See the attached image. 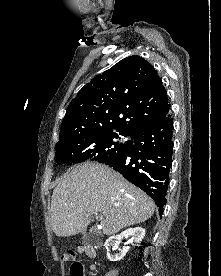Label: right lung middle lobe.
Returning <instances> with one entry per match:
<instances>
[{
    "label": "right lung middle lobe",
    "mask_w": 221,
    "mask_h": 276,
    "mask_svg": "<svg viewBox=\"0 0 221 276\" xmlns=\"http://www.w3.org/2000/svg\"><path fill=\"white\" fill-rule=\"evenodd\" d=\"M119 135L130 136L119 132ZM116 133L98 132L83 138L70 139L58 142L55 146V161L57 163H79L88 160L104 163L127 150L130 141L125 143L114 142L119 138Z\"/></svg>",
    "instance_id": "obj_1"
}]
</instances>
